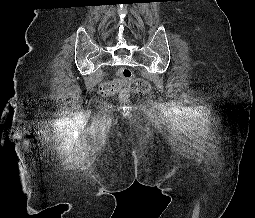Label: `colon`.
I'll return each mask as SVG.
<instances>
[{"mask_svg": "<svg viewBox=\"0 0 255 218\" xmlns=\"http://www.w3.org/2000/svg\"><path fill=\"white\" fill-rule=\"evenodd\" d=\"M116 84L102 86L104 94H111L120 90V94L125 98L130 92L147 94L150 91V85L141 78H135L130 69L126 67L118 68L116 72Z\"/></svg>", "mask_w": 255, "mask_h": 218, "instance_id": "colon-1", "label": "colon"}]
</instances>
